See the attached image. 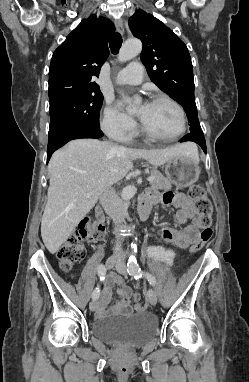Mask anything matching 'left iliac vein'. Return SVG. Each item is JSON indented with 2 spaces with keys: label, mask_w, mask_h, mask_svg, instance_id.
<instances>
[{
  "label": "left iliac vein",
  "mask_w": 249,
  "mask_h": 382,
  "mask_svg": "<svg viewBox=\"0 0 249 382\" xmlns=\"http://www.w3.org/2000/svg\"><path fill=\"white\" fill-rule=\"evenodd\" d=\"M116 270L122 274L126 275V265L125 262L122 259H119V261L116 264ZM148 300L151 305L155 306L157 304V295L156 292L153 289H149L147 292Z\"/></svg>",
  "instance_id": "1"
}]
</instances>
